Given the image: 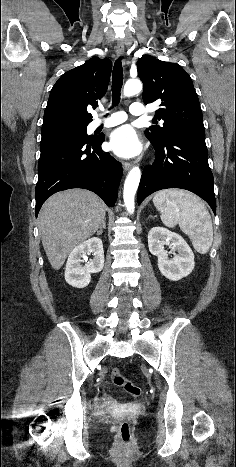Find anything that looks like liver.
Segmentation results:
<instances>
[{
	"instance_id": "6515ba94",
	"label": "liver",
	"mask_w": 236,
	"mask_h": 467,
	"mask_svg": "<svg viewBox=\"0 0 236 467\" xmlns=\"http://www.w3.org/2000/svg\"><path fill=\"white\" fill-rule=\"evenodd\" d=\"M105 211L104 202L83 189L58 192L43 204L39 231L53 269L59 270L72 250L98 231Z\"/></svg>"
}]
</instances>
